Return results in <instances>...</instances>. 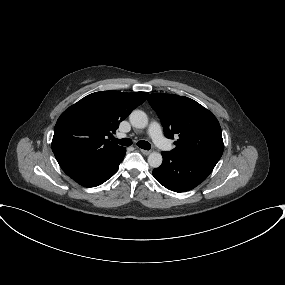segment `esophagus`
<instances>
[{
  "label": "esophagus",
  "instance_id": "esophagus-1",
  "mask_svg": "<svg viewBox=\"0 0 285 285\" xmlns=\"http://www.w3.org/2000/svg\"><path fill=\"white\" fill-rule=\"evenodd\" d=\"M140 152L144 155H149L150 151L149 150H144V149H140Z\"/></svg>",
  "mask_w": 285,
  "mask_h": 285
}]
</instances>
